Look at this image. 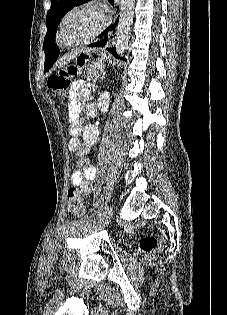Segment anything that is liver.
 I'll return each instance as SVG.
<instances>
[{
  "instance_id": "liver-1",
  "label": "liver",
  "mask_w": 227,
  "mask_h": 315,
  "mask_svg": "<svg viewBox=\"0 0 227 315\" xmlns=\"http://www.w3.org/2000/svg\"><path fill=\"white\" fill-rule=\"evenodd\" d=\"M65 63H66V62L62 61L61 64H60V66H63Z\"/></svg>"
}]
</instances>
